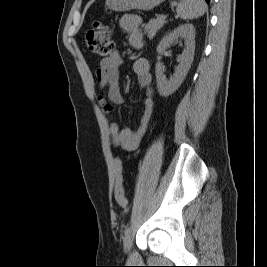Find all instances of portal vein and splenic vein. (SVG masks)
Listing matches in <instances>:
<instances>
[{
  "label": "portal vein and splenic vein",
  "instance_id": "18ae733b",
  "mask_svg": "<svg viewBox=\"0 0 267 267\" xmlns=\"http://www.w3.org/2000/svg\"><path fill=\"white\" fill-rule=\"evenodd\" d=\"M159 17H160V18H166L167 15H165V14H161Z\"/></svg>",
  "mask_w": 267,
  "mask_h": 267
}]
</instances>
